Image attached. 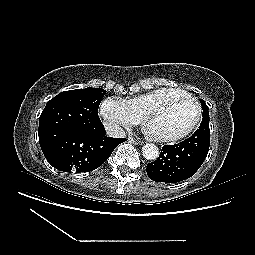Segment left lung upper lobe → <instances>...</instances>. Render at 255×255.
<instances>
[{
    "label": "left lung upper lobe",
    "mask_w": 255,
    "mask_h": 255,
    "mask_svg": "<svg viewBox=\"0 0 255 255\" xmlns=\"http://www.w3.org/2000/svg\"><path fill=\"white\" fill-rule=\"evenodd\" d=\"M200 102H201V105H202V109H203V119H202V122L204 121H209V109H208V106L206 105V103L200 99Z\"/></svg>",
    "instance_id": "left-lung-upper-lobe-1"
}]
</instances>
